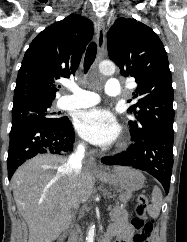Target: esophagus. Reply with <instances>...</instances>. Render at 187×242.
<instances>
[{"instance_id":"obj_1","label":"esophagus","mask_w":187,"mask_h":242,"mask_svg":"<svg viewBox=\"0 0 187 242\" xmlns=\"http://www.w3.org/2000/svg\"><path fill=\"white\" fill-rule=\"evenodd\" d=\"M96 33L98 52L101 55L105 45V25L101 19H98L96 22ZM88 163L94 172H102L101 167L97 164L96 159L92 155L89 156Z\"/></svg>"}]
</instances>
